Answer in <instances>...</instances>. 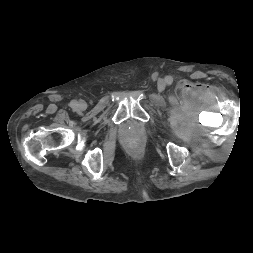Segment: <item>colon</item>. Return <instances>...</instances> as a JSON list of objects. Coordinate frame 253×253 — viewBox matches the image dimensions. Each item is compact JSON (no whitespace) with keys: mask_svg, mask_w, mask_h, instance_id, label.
Listing matches in <instances>:
<instances>
[{"mask_svg":"<svg viewBox=\"0 0 253 253\" xmlns=\"http://www.w3.org/2000/svg\"><path fill=\"white\" fill-rule=\"evenodd\" d=\"M129 145L131 148H136L138 145V142H137V140L133 139L129 142Z\"/></svg>","mask_w":253,"mask_h":253,"instance_id":"1","label":"colon"}]
</instances>
